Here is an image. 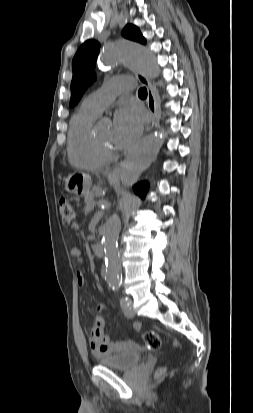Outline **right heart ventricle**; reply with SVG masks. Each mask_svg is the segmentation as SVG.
I'll return each instance as SVG.
<instances>
[{"instance_id":"1","label":"right heart ventricle","mask_w":253,"mask_h":413,"mask_svg":"<svg viewBox=\"0 0 253 413\" xmlns=\"http://www.w3.org/2000/svg\"><path fill=\"white\" fill-rule=\"evenodd\" d=\"M97 117L98 114L81 106L71 118L67 155L76 167L96 169L106 161L97 154L92 143V129Z\"/></svg>"}]
</instances>
